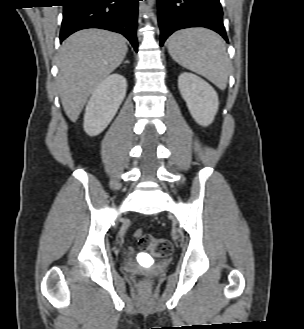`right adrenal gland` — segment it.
I'll list each match as a JSON object with an SVG mask.
<instances>
[{
    "mask_svg": "<svg viewBox=\"0 0 304 329\" xmlns=\"http://www.w3.org/2000/svg\"><path fill=\"white\" fill-rule=\"evenodd\" d=\"M124 63H129V61H128V60H126Z\"/></svg>",
    "mask_w": 304,
    "mask_h": 329,
    "instance_id": "2a0ac1e0",
    "label": "right adrenal gland"
}]
</instances>
